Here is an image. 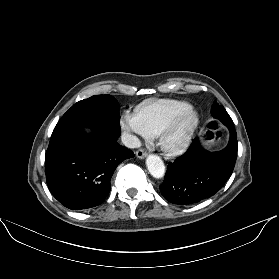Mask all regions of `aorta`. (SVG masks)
I'll return each mask as SVG.
<instances>
[{"label": "aorta", "instance_id": "762f6f07", "mask_svg": "<svg viewBox=\"0 0 279 279\" xmlns=\"http://www.w3.org/2000/svg\"><path fill=\"white\" fill-rule=\"evenodd\" d=\"M146 166L148 168L149 173L154 178H162L165 174V165L162 159L155 154L148 155L146 159Z\"/></svg>", "mask_w": 279, "mask_h": 279}]
</instances>
